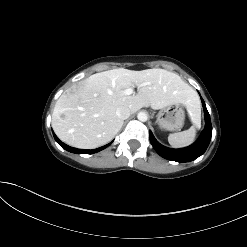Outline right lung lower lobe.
Returning <instances> with one entry per match:
<instances>
[{
  "mask_svg": "<svg viewBox=\"0 0 247 247\" xmlns=\"http://www.w3.org/2000/svg\"><path fill=\"white\" fill-rule=\"evenodd\" d=\"M54 135V138L56 140V142L62 147L64 148L65 150L69 151V152H72V153H76V154H93V153H96L104 148H106L108 145H110L111 143L105 145V146H102V147H99L97 149H92V150H84V149H77V148H73V147H70L66 144H64L63 142H61L57 136L53 133Z\"/></svg>",
  "mask_w": 247,
  "mask_h": 247,
  "instance_id": "right-lung-lower-lobe-1",
  "label": "right lung lower lobe"
}]
</instances>
